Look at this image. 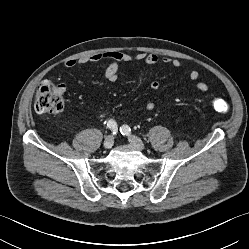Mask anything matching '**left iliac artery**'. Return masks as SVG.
<instances>
[{"label":"left iliac artery","mask_w":249,"mask_h":249,"mask_svg":"<svg viewBox=\"0 0 249 249\" xmlns=\"http://www.w3.org/2000/svg\"><path fill=\"white\" fill-rule=\"evenodd\" d=\"M131 129L128 125H123L121 128H120V132L123 134V135H128L130 133Z\"/></svg>","instance_id":"1"}]
</instances>
